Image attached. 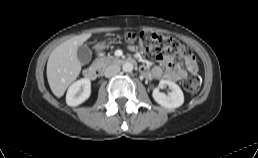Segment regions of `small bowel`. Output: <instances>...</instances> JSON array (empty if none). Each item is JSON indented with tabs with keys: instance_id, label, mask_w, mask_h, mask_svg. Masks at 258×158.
Here are the masks:
<instances>
[{
	"instance_id": "obj_1",
	"label": "small bowel",
	"mask_w": 258,
	"mask_h": 158,
	"mask_svg": "<svg viewBox=\"0 0 258 158\" xmlns=\"http://www.w3.org/2000/svg\"><path fill=\"white\" fill-rule=\"evenodd\" d=\"M157 60L161 65H156L151 69L144 67L142 73L152 79H164L170 82H176L184 79L188 73L197 71V63L193 55L185 60V69L178 66L167 54H159Z\"/></svg>"
}]
</instances>
